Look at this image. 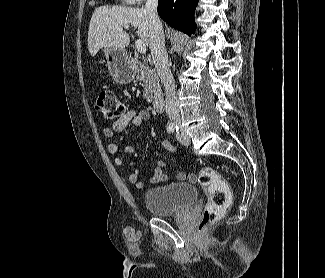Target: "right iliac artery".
<instances>
[{
	"label": "right iliac artery",
	"mask_w": 325,
	"mask_h": 278,
	"mask_svg": "<svg viewBox=\"0 0 325 278\" xmlns=\"http://www.w3.org/2000/svg\"><path fill=\"white\" fill-rule=\"evenodd\" d=\"M175 128H177V126H174L173 124H169V125L167 126V131H168L169 133H172V132H174Z\"/></svg>",
	"instance_id": "right-iliac-artery-1"
}]
</instances>
